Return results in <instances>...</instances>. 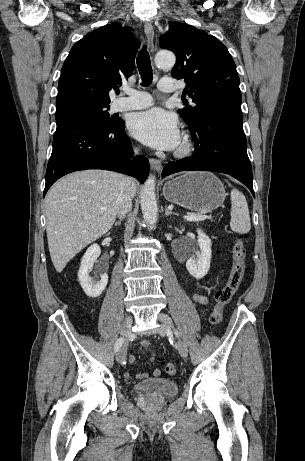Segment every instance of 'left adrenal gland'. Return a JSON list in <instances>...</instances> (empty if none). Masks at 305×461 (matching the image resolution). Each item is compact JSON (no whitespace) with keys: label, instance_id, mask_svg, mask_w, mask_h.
Listing matches in <instances>:
<instances>
[{"label":"left adrenal gland","instance_id":"obj_1","mask_svg":"<svg viewBox=\"0 0 305 461\" xmlns=\"http://www.w3.org/2000/svg\"><path fill=\"white\" fill-rule=\"evenodd\" d=\"M165 215H166V216H170V215H176V216H178L177 213L172 212L171 210H169V208H168L167 206H165Z\"/></svg>","mask_w":305,"mask_h":461}]
</instances>
